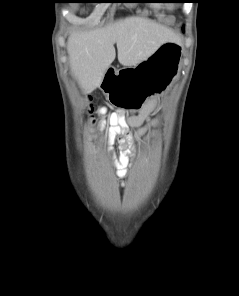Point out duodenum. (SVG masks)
Masks as SVG:
<instances>
[{"label":"duodenum","instance_id":"obj_1","mask_svg":"<svg viewBox=\"0 0 239 296\" xmlns=\"http://www.w3.org/2000/svg\"><path fill=\"white\" fill-rule=\"evenodd\" d=\"M117 74H118V70H116L115 68H109L104 78V82L115 81Z\"/></svg>","mask_w":239,"mask_h":296}]
</instances>
